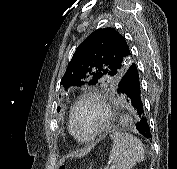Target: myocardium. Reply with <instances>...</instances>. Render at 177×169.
Masks as SVG:
<instances>
[{"label":"myocardium","instance_id":"f54148a6","mask_svg":"<svg viewBox=\"0 0 177 169\" xmlns=\"http://www.w3.org/2000/svg\"><path fill=\"white\" fill-rule=\"evenodd\" d=\"M86 101H93L97 104V106L100 108L102 112V121L97 130H95L90 135L84 136V135L79 134L77 127H76L75 118H76V113H77L78 108ZM110 118H111L110 109L108 105L106 104V102L104 101V99L102 98V96L95 91H90L78 97V99L76 100V102L71 108L69 121H70V126H71V129L74 135L81 141L89 142L95 139L96 137H98L100 134H102L107 129L109 122H110Z\"/></svg>","mask_w":177,"mask_h":169}]
</instances>
